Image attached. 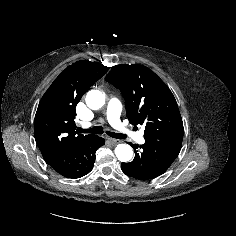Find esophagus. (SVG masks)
<instances>
[{
	"mask_svg": "<svg viewBox=\"0 0 236 236\" xmlns=\"http://www.w3.org/2000/svg\"><path fill=\"white\" fill-rule=\"evenodd\" d=\"M108 141H109L111 144H113V145H116V144H118V143L120 142L119 140H117V139H112V138H109Z\"/></svg>",
	"mask_w": 236,
	"mask_h": 236,
	"instance_id": "34e87169",
	"label": "esophagus"
}]
</instances>
